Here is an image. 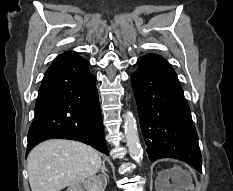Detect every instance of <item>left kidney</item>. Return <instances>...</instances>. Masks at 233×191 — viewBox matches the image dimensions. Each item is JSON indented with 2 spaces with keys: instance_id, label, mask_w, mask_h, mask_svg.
<instances>
[{
  "instance_id": "obj_1",
  "label": "left kidney",
  "mask_w": 233,
  "mask_h": 191,
  "mask_svg": "<svg viewBox=\"0 0 233 191\" xmlns=\"http://www.w3.org/2000/svg\"><path fill=\"white\" fill-rule=\"evenodd\" d=\"M170 177H172V174L170 173V172H166L165 173V185L167 186V188H168V191H176V189L175 188H180L179 186H180V184H175V185H170L169 184V182H168V179L170 178Z\"/></svg>"
}]
</instances>
